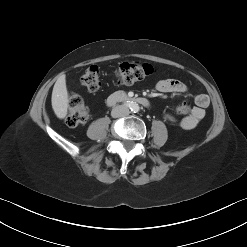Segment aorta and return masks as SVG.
<instances>
[{"mask_svg": "<svg viewBox=\"0 0 247 247\" xmlns=\"http://www.w3.org/2000/svg\"><path fill=\"white\" fill-rule=\"evenodd\" d=\"M131 109H132V111H134V112H138V111H139V106H138V104H133V105L131 106Z\"/></svg>", "mask_w": 247, "mask_h": 247, "instance_id": "762f6f07", "label": "aorta"}]
</instances>
